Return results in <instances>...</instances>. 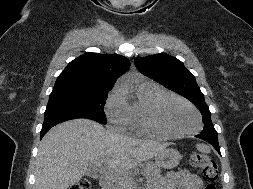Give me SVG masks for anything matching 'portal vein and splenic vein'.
Returning a JSON list of instances; mask_svg holds the SVG:
<instances>
[{"label": "portal vein and splenic vein", "instance_id": "obj_1", "mask_svg": "<svg viewBox=\"0 0 253 189\" xmlns=\"http://www.w3.org/2000/svg\"><path fill=\"white\" fill-rule=\"evenodd\" d=\"M97 169H98V170H102V168H101V163L97 164Z\"/></svg>", "mask_w": 253, "mask_h": 189}]
</instances>
